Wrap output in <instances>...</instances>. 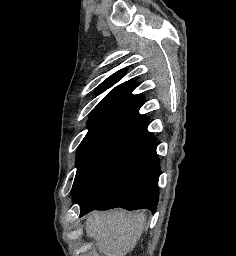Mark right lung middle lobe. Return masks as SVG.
<instances>
[{
    "label": "right lung middle lobe",
    "mask_w": 236,
    "mask_h": 256,
    "mask_svg": "<svg viewBox=\"0 0 236 256\" xmlns=\"http://www.w3.org/2000/svg\"><path fill=\"white\" fill-rule=\"evenodd\" d=\"M88 125L89 131L77 149L73 198L109 161L148 132L147 122L114 117L90 121Z\"/></svg>",
    "instance_id": "1"
}]
</instances>
